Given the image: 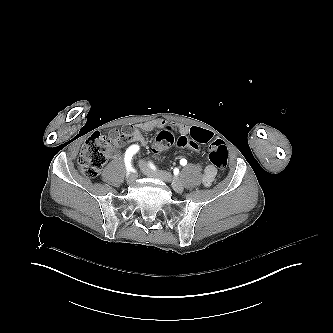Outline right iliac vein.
<instances>
[{
	"label": "right iliac vein",
	"mask_w": 333,
	"mask_h": 333,
	"mask_svg": "<svg viewBox=\"0 0 333 333\" xmlns=\"http://www.w3.org/2000/svg\"><path fill=\"white\" fill-rule=\"evenodd\" d=\"M137 177V174L133 173L131 177L127 180V183L130 184L132 183Z\"/></svg>",
	"instance_id": "63e3f726"
}]
</instances>
